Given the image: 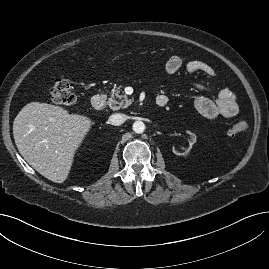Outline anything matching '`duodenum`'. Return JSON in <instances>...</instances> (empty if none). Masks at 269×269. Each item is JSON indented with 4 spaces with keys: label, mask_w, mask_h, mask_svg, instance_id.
I'll return each mask as SVG.
<instances>
[{
    "label": "duodenum",
    "mask_w": 269,
    "mask_h": 269,
    "mask_svg": "<svg viewBox=\"0 0 269 269\" xmlns=\"http://www.w3.org/2000/svg\"><path fill=\"white\" fill-rule=\"evenodd\" d=\"M167 97L164 95H160L156 98V105L160 108L164 107L167 104ZM106 104V98L102 94H96L92 97L91 105L92 108L96 111H100L104 108Z\"/></svg>",
    "instance_id": "410a0bca"
}]
</instances>
